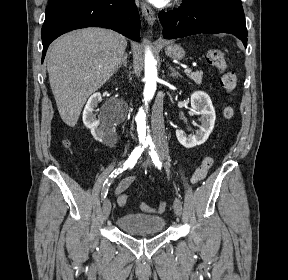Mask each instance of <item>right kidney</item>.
<instances>
[{
    "instance_id": "ca27d5eb",
    "label": "right kidney",
    "mask_w": 288,
    "mask_h": 280,
    "mask_svg": "<svg viewBox=\"0 0 288 280\" xmlns=\"http://www.w3.org/2000/svg\"><path fill=\"white\" fill-rule=\"evenodd\" d=\"M101 101L100 93H94L88 99L83 111V123L91 130V134L97 141L109 144L115 138V129L104 116H99L97 119L94 113L95 108Z\"/></svg>"
}]
</instances>
